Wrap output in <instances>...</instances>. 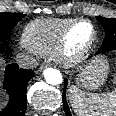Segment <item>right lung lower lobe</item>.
<instances>
[{
  "mask_svg": "<svg viewBox=\"0 0 116 116\" xmlns=\"http://www.w3.org/2000/svg\"><path fill=\"white\" fill-rule=\"evenodd\" d=\"M33 76L32 70L20 69L16 64H9L6 67L3 85L9 95V102L0 111V116H23L25 114L27 84Z\"/></svg>",
  "mask_w": 116,
  "mask_h": 116,
  "instance_id": "right-lung-lower-lobe-1",
  "label": "right lung lower lobe"
}]
</instances>
